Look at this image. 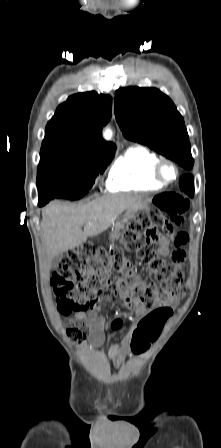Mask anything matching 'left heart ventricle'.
<instances>
[{"label":"left heart ventricle","mask_w":221,"mask_h":448,"mask_svg":"<svg viewBox=\"0 0 221 448\" xmlns=\"http://www.w3.org/2000/svg\"><path fill=\"white\" fill-rule=\"evenodd\" d=\"M163 175L167 180H171L174 177V170L169 165H166L163 169Z\"/></svg>","instance_id":"obj_1"}]
</instances>
